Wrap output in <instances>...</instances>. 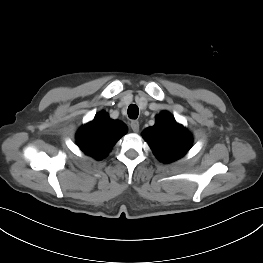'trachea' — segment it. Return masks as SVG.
I'll list each match as a JSON object with an SVG mask.
<instances>
[{"label":"trachea","mask_w":263,"mask_h":263,"mask_svg":"<svg viewBox=\"0 0 263 263\" xmlns=\"http://www.w3.org/2000/svg\"><path fill=\"white\" fill-rule=\"evenodd\" d=\"M128 116L130 119H137L138 114H139V108L137 105L131 104L128 107Z\"/></svg>","instance_id":"1"}]
</instances>
